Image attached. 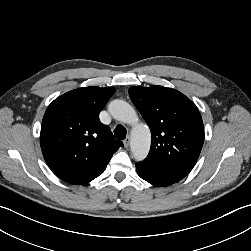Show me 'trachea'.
Instances as JSON below:
<instances>
[{
	"label": "trachea",
	"instance_id": "obj_1",
	"mask_svg": "<svg viewBox=\"0 0 251 251\" xmlns=\"http://www.w3.org/2000/svg\"><path fill=\"white\" fill-rule=\"evenodd\" d=\"M127 131L124 126L117 125L114 130V135L117 139L123 140L126 138Z\"/></svg>",
	"mask_w": 251,
	"mask_h": 251
}]
</instances>
